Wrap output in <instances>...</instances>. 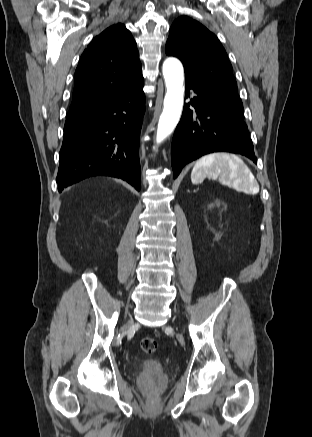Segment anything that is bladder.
I'll list each match as a JSON object with an SVG mask.
<instances>
[{"instance_id":"31cf9c89","label":"bladder","mask_w":312,"mask_h":437,"mask_svg":"<svg viewBox=\"0 0 312 437\" xmlns=\"http://www.w3.org/2000/svg\"><path fill=\"white\" fill-rule=\"evenodd\" d=\"M140 372L143 375H155L162 371L163 365L155 360L147 359L140 363Z\"/></svg>"}]
</instances>
